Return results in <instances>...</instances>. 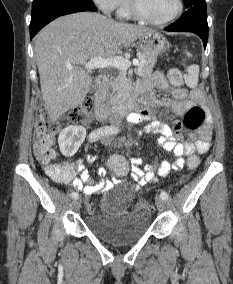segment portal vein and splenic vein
Listing matches in <instances>:
<instances>
[{
  "instance_id": "obj_1",
  "label": "portal vein and splenic vein",
  "mask_w": 233,
  "mask_h": 284,
  "mask_svg": "<svg viewBox=\"0 0 233 284\" xmlns=\"http://www.w3.org/2000/svg\"><path fill=\"white\" fill-rule=\"evenodd\" d=\"M133 65L139 66L140 62L138 59L133 60ZM131 66V62L128 59H125L120 56H115L113 58H102V57H95L88 61L84 67L87 70L92 69H104L107 67H115L121 70H127ZM69 70H73L74 67L71 65H68Z\"/></svg>"
}]
</instances>
